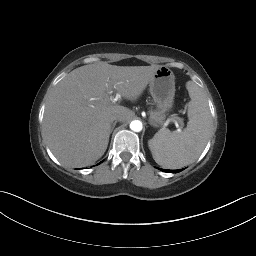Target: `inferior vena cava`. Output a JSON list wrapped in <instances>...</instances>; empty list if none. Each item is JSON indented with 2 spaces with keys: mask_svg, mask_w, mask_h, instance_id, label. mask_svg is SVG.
I'll return each instance as SVG.
<instances>
[{
  "mask_svg": "<svg viewBox=\"0 0 256 256\" xmlns=\"http://www.w3.org/2000/svg\"><path fill=\"white\" fill-rule=\"evenodd\" d=\"M122 117L119 114H113L111 116V121H121Z\"/></svg>",
  "mask_w": 256,
  "mask_h": 256,
  "instance_id": "602c4592",
  "label": "inferior vena cava"
}]
</instances>
